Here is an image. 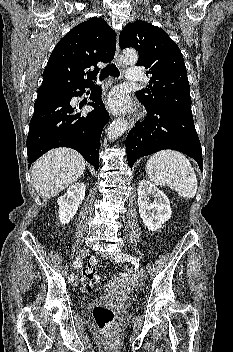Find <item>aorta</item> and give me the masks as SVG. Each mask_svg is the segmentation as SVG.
<instances>
[{
	"label": "aorta",
	"instance_id": "aorta-1",
	"mask_svg": "<svg viewBox=\"0 0 233 352\" xmlns=\"http://www.w3.org/2000/svg\"><path fill=\"white\" fill-rule=\"evenodd\" d=\"M138 59L137 52L133 49H127L122 54V60L127 63H136ZM128 122L125 119H117L113 121L108 127L109 140H115L120 137L127 129Z\"/></svg>",
	"mask_w": 233,
	"mask_h": 352
}]
</instances>
